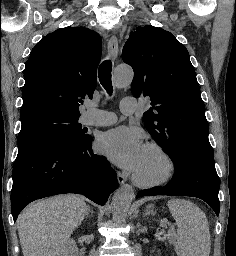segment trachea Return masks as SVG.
I'll use <instances>...</instances> for the list:
<instances>
[{
  "label": "trachea",
  "instance_id": "3493384b",
  "mask_svg": "<svg viewBox=\"0 0 236 256\" xmlns=\"http://www.w3.org/2000/svg\"><path fill=\"white\" fill-rule=\"evenodd\" d=\"M111 70L112 64L110 60H105L102 62L98 70L99 81L109 95H111L113 92Z\"/></svg>",
  "mask_w": 236,
  "mask_h": 256
}]
</instances>
